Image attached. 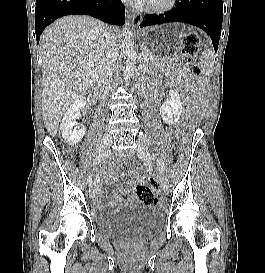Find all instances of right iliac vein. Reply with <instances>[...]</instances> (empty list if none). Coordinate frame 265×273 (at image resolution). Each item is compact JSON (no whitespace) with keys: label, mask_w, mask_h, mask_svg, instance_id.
Masks as SVG:
<instances>
[{"label":"right iliac vein","mask_w":265,"mask_h":273,"mask_svg":"<svg viewBox=\"0 0 265 273\" xmlns=\"http://www.w3.org/2000/svg\"><path fill=\"white\" fill-rule=\"evenodd\" d=\"M111 144H112V137L109 134H105L101 139L99 149H98L99 156L101 158L105 157L106 152L109 150ZM98 184H99V180L96 179L95 182L90 186V188H89V197L90 198L95 197V194L98 189Z\"/></svg>","instance_id":"right-iliac-vein-1"}]
</instances>
